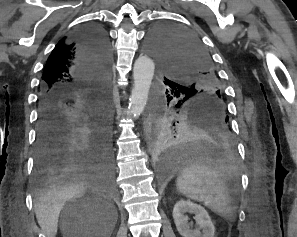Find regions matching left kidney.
Returning <instances> with one entry per match:
<instances>
[{
  "label": "left kidney",
  "mask_w": 297,
  "mask_h": 237,
  "mask_svg": "<svg viewBox=\"0 0 297 237\" xmlns=\"http://www.w3.org/2000/svg\"><path fill=\"white\" fill-rule=\"evenodd\" d=\"M186 212L195 214V229H192V224L188 222ZM173 219L182 237H214L215 227L212 220L207 211L198 204L188 200H179L173 209Z\"/></svg>",
  "instance_id": "5707ae66"
}]
</instances>
